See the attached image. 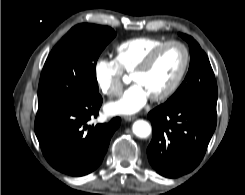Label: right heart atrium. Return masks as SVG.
I'll use <instances>...</instances> for the list:
<instances>
[{
  "label": "right heart atrium",
  "mask_w": 245,
  "mask_h": 195,
  "mask_svg": "<svg viewBox=\"0 0 245 195\" xmlns=\"http://www.w3.org/2000/svg\"><path fill=\"white\" fill-rule=\"evenodd\" d=\"M123 71L115 59L100 57L94 64V78L96 84L104 95L117 97L122 93Z\"/></svg>",
  "instance_id": "d8ad5b80"
}]
</instances>
